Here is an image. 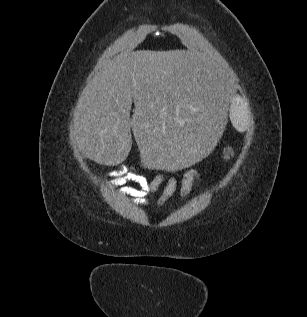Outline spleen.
I'll list each match as a JSON object with an SVG mask.
<instances>
[{
    "instance_id": "spleen-1",
    "label": "spleen",
    "mask_w": 307,
    "mask_h": 317,
    "mask_svg": "<svg viewBox=\"0 0 307 317\" xmlns=\"http://www.w3.org/2000/svg\"><path fill=\"white\" fill-rule=\"evenodd\" d=\"M233 104H243V97H233ZM230 118L233 123V126L240 132H243L247 126V111L244 108L242 111H238L236 106L233 105L230 110Z\"/></svg>"
}]
</instances>
